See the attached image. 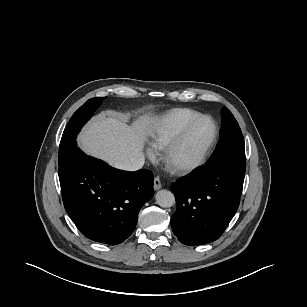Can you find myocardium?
<instances>
[{"label": "myocardium", "instance_id": "f54148a6", "mask_svg": "<svg viewBox=\"0 0 307 307\" xmlns=\"http://www.w3.org/2000/svg\"><path fill=\"white\" fill-rule=\"evenodd\" d=\"M204 119L210 120L214 125V135H213L211 142L209 143L207 148L204 150V152L200 155V157L198 159H196L195 161H193L189 164H183V165L176 164L174 162L175 153L177 152V150L179 149V147L181 146V144L183 143V141L185 140V138L187 137V135L189 134L191 129L198 122H200L201 120H204ZM218 137H219V126H218L216 120L213 117H211L209 115H203L202 114V115L194 118L193 120L188 122L183 127V129L176 136V138L166 148L164 161H165L167 168L169 170H171L172 172L177 173V174H187V173H190V172L197 170L199 167H201L205 163V161L209 157L211 151L213 150L214 146L217 143Z\"/></svg>", "mask_w": 307, "mask_h": 307}]
</instances>
